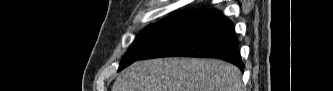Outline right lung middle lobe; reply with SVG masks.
<instances>
[{
	"label": "right lung middle lobe",
	"instance_id": "right-lung-middle-lobe-1",
	"mask_svg": "<svg viewBox=\"0 0 333 91\" xmlns=\"http://www.w3.org/2000/svg\"><path fill=\"white\" fill-rule=\"evenodd\" d=\"M188 20L167 18L156 25H149L140 33L132 46L123 57L118 71L127 67L134 61L141 58L151 49L169 38L173 33L180 29Z\"/></svg>",
	"mask_w": 333,
	"mask_h": 91
}]
</instances>
